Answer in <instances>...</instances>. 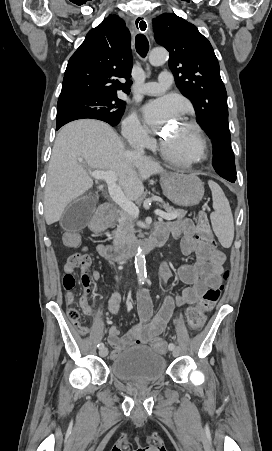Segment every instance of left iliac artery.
<instances>
[{"label": "left iliac artery", "mask_w": 272, "mask_h": 451, "mask_svg": "<svg viewBox=\"0 0 272 451\" xmlns=\"http://www.w3.org/2000/svg\"><path fill=\"white\" fill-rule=\"evenodd\" d=\"M175 348V344L174 343H170L169 345H168V349L169 350H173Z\"/></svg>", "instance_id": "left-iliac-artery-1"}]
</instances>
